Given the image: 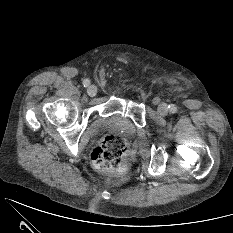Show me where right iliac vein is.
I'll return each mask as SVG.
<instances>
[{"mask_svg": "<svg viewBox=\"0 0 233 233\" xmlns=\"http://www.w3.org/2000/svg\"><path fill=\"white\" fill-rule=\"evenodd\" d=\"M87 93L91 97L95 96L97 94V87L95 85H90L87 88Z\"/></svg>", "mask_w": 233, "mask_h": 233, "instance_id": "1", "label": "right iliac vein"}]
</instances>
